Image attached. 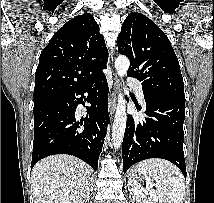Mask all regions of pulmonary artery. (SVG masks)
<instances>
[{
	"label": "pulmonary artery",
	"instance_id": "obj_1",
	"mask_svg": "<svg viewBox=\"0 0 214 203\" xmlns=\"http://www.w3.org/2000/svg\"><path fill=\"white\" fill-rule=\"evenodd\" d=\"M129 85L136 91V94L139 98V100L144 103V93H143V87L141 82H139L136 79H129Z\"/></svg>",
	"mask_w": 214,
	"mask_h": 203
}]
</instances>
